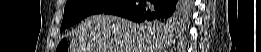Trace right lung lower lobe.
Instances as JSON below:
<instances>
[{
    "mask_svg": "<svg viewBox=\"0 0 261 52\" xmlns=\"http://www.w3.org/2000/svg\"><path fill=\"white\" fill-rule=\"evenodd\" d=\"M181 10L180 1L177 0H122L103 13L122 16L135 22L154 23L175 19Z\"/></svg>",
    "mask_w": 261,
    "mask_h": 52,
    "instance_id": "1",
    "label": "right lung lower lobe"
}]
</instances>
